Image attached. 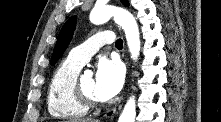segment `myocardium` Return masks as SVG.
Listing matches in <instances>:
<instances>
[{
	"label": "myocardium",
	"instance_id": "myocardium-1",
	"mask_svg": "<svg viewBox=\"0 0 221 122\" xmlns=\"http://www.w3.org/2000/svg\"><path fill=\"white\" fill-rule=\"evenodd\" d=\"M74 94L81 105L87 109H95L100 106L98 100L93 99L91 96L86 94L81 85V80L76 78L74 82Z\"/></svg>",
	"mask_w": 221,
	"mask_h": 122
}]
</instances>
